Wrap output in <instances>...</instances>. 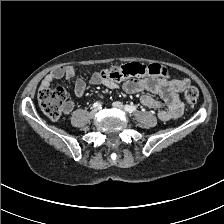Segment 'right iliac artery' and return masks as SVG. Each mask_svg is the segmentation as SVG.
I'll use <instances>...</instances> for the list:
<instances>
[{
    "mask_svg": "<svg viewBox=\"0 0 224 224\" xmlns=\"http://www.w3.org/2000/svg\"><path fill=\"white\" fill-rule=\"evenodd\" d=\"M93 108H101V104L99 102H95L93 104Z\"/></svg>",
    "mask_w": 224,
    "mask_h": 224,
    "instance_id": "1",
    "label": "right iliac artery"
}]
</instances>
